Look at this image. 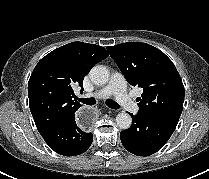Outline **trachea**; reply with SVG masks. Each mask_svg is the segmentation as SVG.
Instances as JSON below:
<instances>
[{"mask_svg":"<svg viewBox=\"0 0 209 179\" xmlns=\"http://www.w3.org/2000/svg\"><path fill=\"white\" fill-rule=\"evenodd\" d=\"M78 100L86 105H94L96 103V100L94 98H84V99L78 98ZM106 105L112 109L120 108V106L115 101L112 100H107Z\"/></svg>","mask_w":209,"mask_h":179,"instance_id":"3493384b","label":"trachea"}]
</instances>
